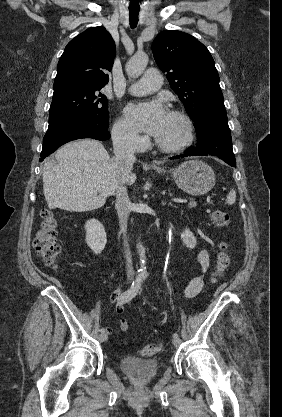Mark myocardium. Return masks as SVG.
Masks as SVG:
<instances>
[{"label":"myocardium","mask_w":282,"mask_h":417,"mask_svg":"<svg viewBox=\"0 0 282 417\" xmlns=\"http://www.w3.org/2000/svg\"><path fill=\"white\" fill-rule=\"evenodd\" d=\"M167 115L179 119L183 125V136L173 143H166L155 137V143L165 150H177L188 145L193 139V125L191 119L180 111L170 110Z\"/></svg>","instance_id":"1"}]
</instances>
